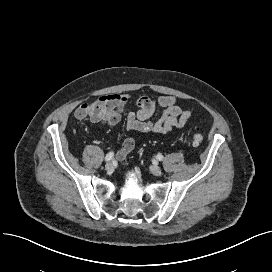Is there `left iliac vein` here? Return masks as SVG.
Listing matches in <instances>:
<instances>
[{"mask_svg": "<svg viewBox=\"0 0 272 272\" xmlns=\"http://www.w3.org/2000/svg\"><path fill=\"white\" fill-rule=\"evenodd\" d=\"M150 171L152 172V174H154L156 176H159L162 173L161 168L157 165H152L150 167Z\"/></svg>", "mask_w": 272, "mask_h": 272, "instance_id": "obj_1", "label": "left iliac vein"}]
</instances>
